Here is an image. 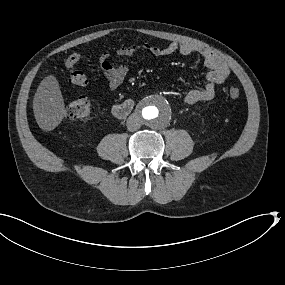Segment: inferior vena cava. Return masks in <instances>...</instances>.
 Listing matches in <instances>:
<instances>
[{"mask_svg":"<svg viewBox=\"0 0 285 285\" xmlns=\"http://www.w3.org/2000/svg\"><path fill=\"white\" fill-rule=\"evenodd\" d=\"M141 127L140 119L137 115H130L127 119V129L129 131H137Z\"/></svg>","mask_w":285,"mask_h":285,"instance_id":"1","label":"inferior vena cava"}]
</instances>
